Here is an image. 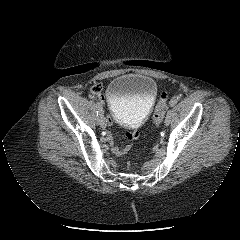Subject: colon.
Listing matches in <instances>:
<instances>
[{
    "mask_svg": "<svg viewBox=\"0 0 240 240\" xmlns=\"http://www.w3.org/2000/svg\"><path fill=\"white\" fill-rule=\"evenodd\" d=\"M99 91H100L99 86H95L93 88L94 93H99ZM167 101H168V93L166 91H164L161 93L159 100L155 107L154 122L157 126L161 124V122L164 118L165 112L167 110Z\"/></svg>",
    "mask_w": 240,
    "mask_h": 240,
    "instance_id": "obj_1",
    "label": "colon"
}]
</instances>
